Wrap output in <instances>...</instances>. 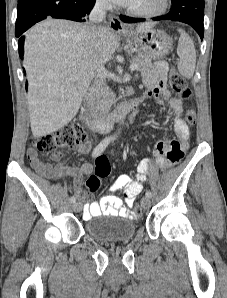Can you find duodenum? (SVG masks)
<instances>
[{"label": "duodenum", "instance_id": "1", "mask_svg": "<svg viewBox=\"0 0 227 298\" xmlns=\"http://www.w3.org/2000/svg\"><path fill=\"white\" fill-rule=\"evenodd\" d=\"M141 100L134 98L118 105L113 111L105 115H99L95 111V98L89 94L85 100L84 123L88 129L99 132H110L114 124L122 121L131 112L136 110Z\"/></svg>", "mask_w": 227, "mask_h": 298}]
</instances>
